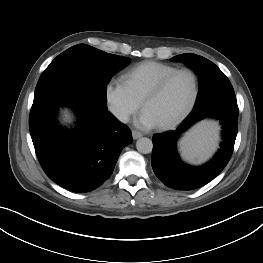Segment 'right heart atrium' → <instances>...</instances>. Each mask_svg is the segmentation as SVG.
<instances>
[{"label":"right heart atrium","mask_w":263,"mask_h":263,"mask_svg":"<svg viewBox=\"0 0 263 263\" xmlns=\"http://www.w3.org/2000/svg\"><path fill=\"white\" fill-rule=\"evenodd\" d=\"M104 99L109 112L121 123H126L141 106V102L133 96L123 80L118 78L107 81Z\"/></svg>","instance_id":"1"}]
</instances>
